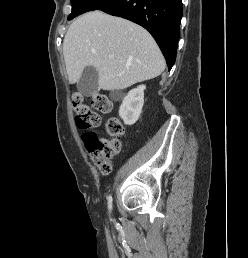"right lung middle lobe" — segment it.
<instances>
[{
    "mask_svg": "<svg viewBox=\"0 0 248 258\" xmlns=\"http://www.w3.org/2000/svg\"><path fill=\"white\" fill-rule=\"evenodd\" d=\"M111 1L113 0H71L72 11L68 16V20H71L87 11L98 10Z\"/></svg>",
    "mask_w": 248,
    "mask_h": 258,
    "instance_id": "1",
    "label": "right lung middle lobe"
}]
</instances>
